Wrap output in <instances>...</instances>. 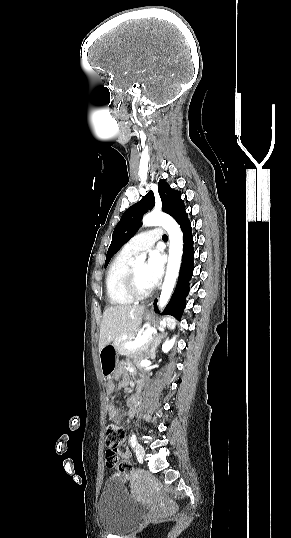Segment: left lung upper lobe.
I'll list each match as a JSON object with an SVG mask.
<instances>
[{"label": "left lung upper lobe", "mask_w": 291, "mask_h": 538, "mask_svg": "<svg viewBox=\"0 0 291 538\" xmlns=\"http://www.w3.org/2000/svg\"><path fill=\"white\" fill-rule=\"evenodd\" d=\"M158 192L162 201V211L172 216L176 221L185 214V206L181 199V194L173 190L168 183L160 180ZM155 205V198L152 191H149L141 201L129 207L122 215L119 223L116 225L112 242L108 249L105 261V267L108 265L111 257L116 253L141 226L142 216Z\"/></svg>", "instance_id": "left-lung-upper-lobe-1"}]
</instances>
